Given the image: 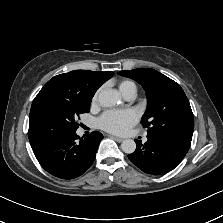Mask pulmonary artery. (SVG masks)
<instances>
[{"instance_id":"1","label":"pulmonary artery","mask_w":223,"mask_h":223,"mask_svg":"<svg viewBox=\"0 0 223 223\" xmlns=\"http://www.w3.org/2000/svg\"><path fill=\"white\" fill-rule=\"evenodd\" d=\"M127 100H132L136 97V92L134 90H131L124 94Z\"/></svg>"}]
</instances>
